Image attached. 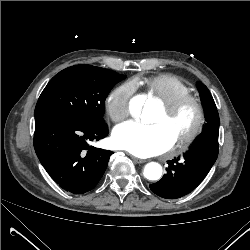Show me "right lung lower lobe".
<instances>
[{"instance_id": "1", "label": "right lung lower lobe", "mask_w": 250, "mask_h": 250, "mask_svg": "<svg viewBox=\"0 0 250 250\" xmlns=\"http://www.w3.org/2000/svg\"><path fill=\"white\" fill-rule=\"evenodd\" d=\"M107 134L105 123L38 115L35 117L34 148L41 164L60 187L82 194L97 185L112 154L89 146V143Z\"/></svg>"}]
</instances>
